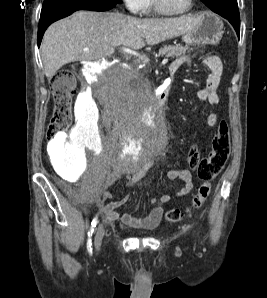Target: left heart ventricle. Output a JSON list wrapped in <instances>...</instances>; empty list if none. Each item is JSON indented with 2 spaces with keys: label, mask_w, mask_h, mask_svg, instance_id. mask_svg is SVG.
Segmentation results:
<instances>
[{
  "label": "left heart ventricle",
  "mask_w": 267,
  "mask_h": 298,
  "mask_svg": "<svg viewBox=\"0 0 267 298\" xmlns=\"http://www.w3.org/2000/svg\"><path fill=\"white\" fill-rule=\"evenodd\" d=\"M160 2L168 11L181 12L187 7L189 0H160Z\"/></svg>",
  "instance_id": "1"
}]
</instances>
